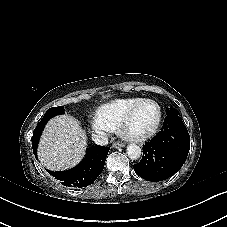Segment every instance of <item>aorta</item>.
I'll list each match as a JSON object with an SVG mask.
<instances>
[{
    "instance_id": "obj_1",
    "label": "aorta",
    "mask_w": 227,
    "mask_h": 227,
    "mask_svg": "<svg viewBox=\"0 0 227 227\" xmlns=\"http://www.w3.org/2000/svg\"><path fill=\"white\" fill-rule=\"evenodd\" d=\"M141 148L136 144H129L127 146L128 157L132 160H137L141 156Z\"/></svg>"
}]
</instances>
